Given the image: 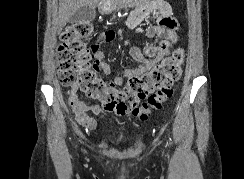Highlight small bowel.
Wrapping results in <instances>:
<instances>
[{
    "label": "small bowel",
    "instance_id": "obj_1",
    "mask_svg": "<svg viewBox=\"0 0 244 179\" xmlns=\"http://www.w3.org/2000/svg\"><path fill=\"white\" fill-rule=\"evenodd\" d=\"M131 6L132 10L126 20V27L134 29L144 20L152 19L155 25L147 30L146 34L149 37L155 38L156 42L142 48L130 45L128 41L123 40L128 48L130 57L138 62V65L134 68L124 70L121 75L114 76L110 81L112 86H120L129 76L143 74L152 69L168 55L170 49L178 40L176 31L177 21L167 2L163 0H150V2H147V0H139V2L134 1ZM122 33V29L118 32H102L90 46L96 66L105 75H111L112 68L105 59V53L102 47L107 42L113 41L116 37L122 39ZM67 102L75 114L77 121L87 129H94L96 127L95 120L88 115V112H92L95 115H106V111L101 105H87L82 101L79 87L78 89H68Z\"/></svg>",
    "mask_w": 244,
    "mask_h": 179
}]
</instances>
